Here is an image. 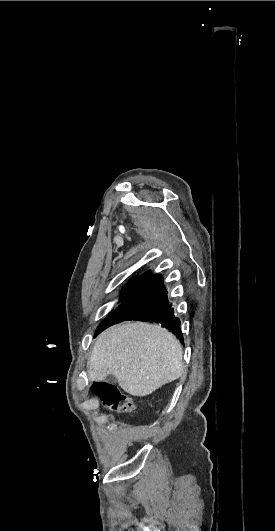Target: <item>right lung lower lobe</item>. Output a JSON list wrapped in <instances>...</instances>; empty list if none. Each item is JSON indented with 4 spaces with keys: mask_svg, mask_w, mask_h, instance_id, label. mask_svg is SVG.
<instances>
[{
    "mask_svg": "<svg viewBox=\"0 0 275 531\" xmlns=\"http://www.w3.org/2000/svg\"><path fill=\"white\" fill-rule=\"evenodd\" d=\"M171 305L163 277L148 271L124 294L120 305L102 321L96 335L122 321L138 320L159 323L183 341L181 323Z\"/></svg>",
    "mask_w": 275,
    "mask_h": 531,
    "instance_id": "98d812e1",
    "label": "right lung lower lobe"
}]
</instances>
